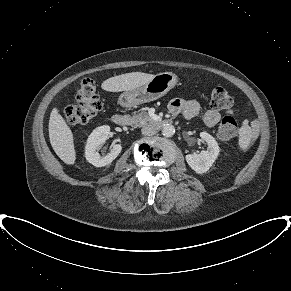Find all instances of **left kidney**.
<instances>
[{"mask_svg": "<svg viewBox=\"0 0 291 291\" xmlns=\"http://www.w3.org/2000/svg\"><path fill=\"white\" fill-rule=\"evenodd\" d=\"M200 137L207 143V150L200 154H187L185 157L188 165L198 174L205 173L210 169L220 151L213 136L207 132H201Z\"/></svg>", "mask_w": 291, "mask_h": 291, "instance_id": "1", "label": "left kidney"}]
</instances>
